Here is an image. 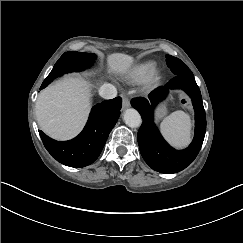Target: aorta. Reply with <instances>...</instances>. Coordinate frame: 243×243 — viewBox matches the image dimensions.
I'll return each instance as SVG.
<instances>
[{
    "instance_id": "762f6f07",
    "label": "aorta",
    "mask_w": 243,
    "mask_h": 243,
    "mask_svg": "<svg viewBox=\"0 0 243 243\" xmlns=\"http://www.w3.org/2000/svg\"><path fill=\"white\" fill-rule=\"evenodd\" d=\"M124 121L129 128L137 129L142 125L141 115L135 109H128L124 114Z\"/></svg>"
}]
</instances>
